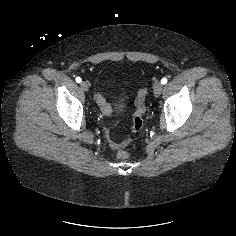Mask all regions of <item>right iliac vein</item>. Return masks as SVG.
I'll return each mask as SVG.
<instances>
[{"instance_id":"1","label":"right iliac vein","mask_w":236,"mask_h":236,"mask_svg":"<svg viewBox=\"0 0 236 236\" xmlns=\"http://www.w3.org/2000/svg\"><path fill=\"white\" fill-rule=\"evenodd\" d=\"M80 86H81L83 91L87 92L89 90V83L86 82V81L81 82Z\"/></svg>"}]
</instances>
